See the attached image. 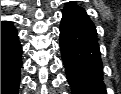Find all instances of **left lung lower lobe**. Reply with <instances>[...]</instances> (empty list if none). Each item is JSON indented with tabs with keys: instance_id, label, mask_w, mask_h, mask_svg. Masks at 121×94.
Returning a JSON list of instances; mask_svg holds the SVG:
<instances>
[{
	"instance_id": "1",
	"label": "left lung lower lobe",
	"mask_w": 121,
	"mask_h": 94,
	"mask_svg": "<svg viewBox=\"0 0 121 94\" xmlns=\"http://www.w3.org/2000/svg\"><path fill=\"white\" fill-rule=\"evenodd\" d=\"M59 41L72 94H107L97 32L89 16L66 5Z\"/></svg>"
}]
</instances>
